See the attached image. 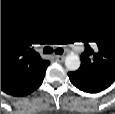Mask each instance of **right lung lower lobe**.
<instances>
[{"label":"right lung lower lobe","mask_w":115,"mask_h":114,"mask_svg":"<svg viewBox=\"0 0 115 114\" xmlns=\"http://www.w3.org/2000/svg\"><path fill=\"white\" fill-rule=\"evenodd\" d=\"M44 76H45V72L42 74V76L39 77V79L36 81V83L31 88H29L28 90L22 91V92H17V93H12L10 95H13V96H25L27 94H30L31 92L36 90L41 85V83H42V81L44 79Z\"/></svg>","instance_id":"right-lung-lower-lobe-1"}]
</instances>
